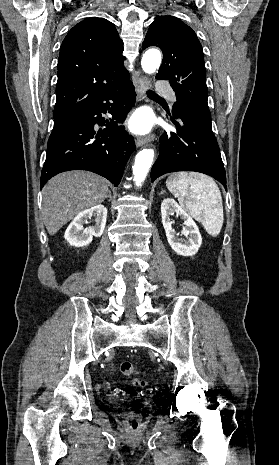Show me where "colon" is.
<instances>
[{"mask_svg": "<svg viewBox=\"0 0 279 465\" xmlns=\"http://www.w3.org/2000/svg\"><path fill=\"white\" fill-rule=\"evenodd\" d=\"M120 369H121V372L127 377H131L136 373L135 367L133 366L132 363L128 361L122 362ZM133 383L138 386H144L146 384V381L143 379L135 378L133 380ZM138 410L139 409L136 403H132L130 405V413L127 416V425L131 431H136L139 426V422L136 416Z\"/></svg>", "mask_w": 279, "mask_h": 465, "instance_id": "1", "label": "colon"}]
</instances>
